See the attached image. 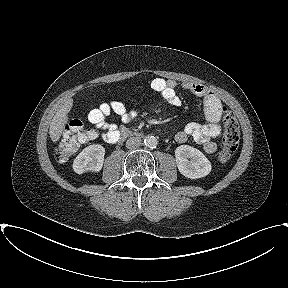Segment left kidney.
<instances>
[{"mask_svg": "<svg viewBox=\"0 0 288 288\" xmlns=\"http://www.w3.org/2000/svg\"><path fill=\"white\" fill-rule=\"evenodd\" d=\"M175 157L179 172L187 178H202L207 176L211 171L212 166L206 156L198 149L189 145L177 147Z\"/></svg>", "mask_w": 288, "mask_h": 288, "instance_id": "left-kidney-1", "label": "left kidney"}]
</instances>
